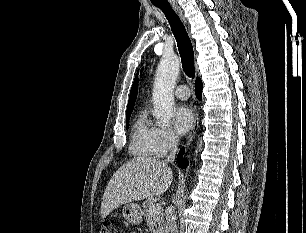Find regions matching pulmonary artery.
Here are the masks:
<instances>
[{"mask_svg":"<svg viewBox=\"0 0 306 233\" xmlns=\"http://www.w3.org/2000/svg\"><path fill=\"white\" fill-rule=\"evenodd\" d=\"M174 94L178 99L186 100L190 97V91L186 85H179L175 88Z\"/></svg>","mask_w":306,"mask_h":233,"instance_id":"obj_1","label":"pulmonary artery"}]
</instances>
